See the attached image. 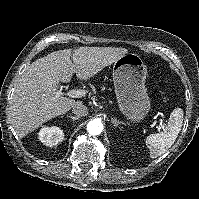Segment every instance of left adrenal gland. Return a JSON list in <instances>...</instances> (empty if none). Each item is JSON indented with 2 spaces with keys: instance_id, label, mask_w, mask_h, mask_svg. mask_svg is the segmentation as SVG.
Returning <instances> with one entry per match:
<instances>
[{
  "instance_id": "left-adrenal-gland-1",
  "label": "left adrenal gland",
  "mask_w": 199,
  "mask_h": 199,
  "mask_svg": "<svg viewBox=\"0 0 199 199\" xmlns=\"http://www.w3.org/2000/svg\"><path fill=\"white\" fill-rule=\"evenodd\" d=\"M111 121H112V123H113V125H114L115 127H117L119 124H121V122L117 121L115 118L112 119Z\"/></svg>"
}]
</instances>
